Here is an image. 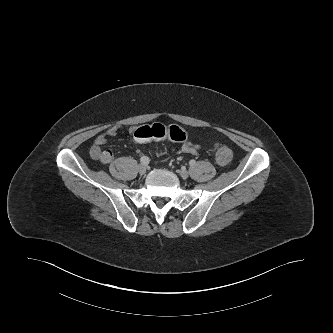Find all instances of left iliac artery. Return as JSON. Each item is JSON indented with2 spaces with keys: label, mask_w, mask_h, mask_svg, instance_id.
<instances>
[{
  "label": "left iliac artery",
  "mask_w": 333,
  "mask_h": 333,
  "mask_svg": "<svg viewBox=\"0 0 333 333\" xmlns=\"http://www.w3.org/2000/svg\"><path fill=\"white\" fill-rule=\"evenodd\" d=\"M195 164H196V161H195V160H190V161H189V165H190V166H194Z\"/></svg>",
  "instance_id": "obj_1"
}]
</instances>
